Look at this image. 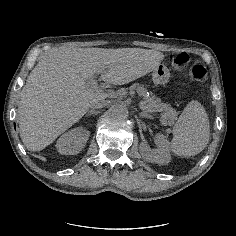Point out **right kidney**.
<instances>
[{
  "mask_svg": "<svg viewBox=\"0 0 236 236\" xmlns=\"http://www.w3.org/2000/svg\"><path fill=\"white\" fill-rule=\"evenodd\" d=\"M89 136V131L81 127L70 130L58 140L57 150L61 154H78L84 148Z\"/></svg>",
  "mask_w": 236,
  "mask_h": 236,
  "instance_id": "obj_1",
  "label": "right kidney"
}]
</instances>
